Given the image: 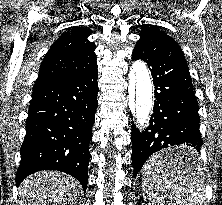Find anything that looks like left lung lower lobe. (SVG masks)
Instances as JSON below:
<instances>
[{
    "mask_svg": "<svg viewBox=\"0 0 222 205\" xmlns=\"http://www.w3.org/2000/svg\"><path fill=\"white\" fill-rule=\"evenodd\" d=\"M137 59L147 62L151 70L156 100L148 128L140 133L132 124L134 177L148 157L163 148L186 144L199 150L203 144L199 106L180 46L168 36H140L132 53V60ZM195 150L172 160L185 166L195 160Z\"/></svg>",
    "mask_w": 222,
    "mask_h": 205,
    "instance_id": "left-lung-lower-lobe-1",
    "label": "left lung lower lobe"
}]
</instances>
